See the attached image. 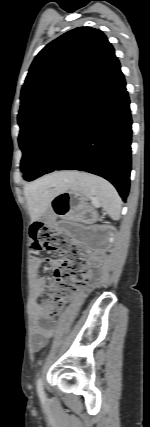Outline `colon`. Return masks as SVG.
Returning <instances> with one entry per match:
<instances>
[{
    "label": "colon",
    "mask_w": 150,
    "mask_h": 427,
    "mask_svg": "<svg viewBox=\"0 0 150 427\" xmlns=\"http://www.w3.org/2000/svg\"><path fill=\"white\" fill-rule=\"evenodd\" d=\"M30 238L33 251H58L64 256L63 264L55 270L50 298L44 301L50 315L57 317L85 277L87 250L81 245L72 243L65 232L51 230L41 222L32 225Z\"/></svg>",
    "instance_id": "colon-1"
}]
</instances>
